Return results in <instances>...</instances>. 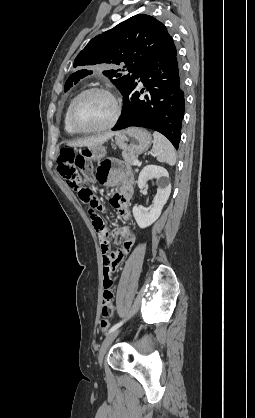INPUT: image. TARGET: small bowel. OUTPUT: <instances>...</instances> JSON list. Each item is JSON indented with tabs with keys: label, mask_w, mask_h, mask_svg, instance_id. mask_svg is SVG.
Masks as SVG:
<instances>
[{
	"label": "small bowel",
	"mask_w": 255,
	"mask_h": 418,
	"mask_svg": "<svg viewBox=\"0 0 255 418\" xmlns=\"http://www.w3.org/2000/svg\"><path fill=\"white\" fill-rule=\"evenodd\" d=\"M96 179L102 183L118 185V191L111 199V205L119 216L127 220L129 218L128 202L133 193V177L130 171L121 168L114 160L104 161L98 168ZM95 227V226H94ZM96 229V228H95ZM100 236V254L103 261V295L99 313L103 320H112L113 310V276L120 271L121 261L124 256H133L138 235L131 227H123L118 233L115 228L98 227ZM112 242V247L111 243Z\"/></svg>",
	"instance_id": "c3829d8e"
}]
</instances>
